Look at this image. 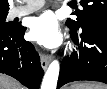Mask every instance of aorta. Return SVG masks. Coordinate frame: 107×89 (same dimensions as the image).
I'll use <instances>...</instances> for the list:
<instances>
[{"label":"aorta","mask_w":107,"mask_h":89,"mask_svg":"<svg viewBox=\"0 0 107 89\" xmlns=\"http://www.w3.org/2000/svg\"><path fill=\"white\" fill-rule=\"evenodd\" d=\"M59 71V62L57 60L52 61L44 75L41 89H56Z\"/></svg>","instance_id":"obj_1"}]
</instances>
